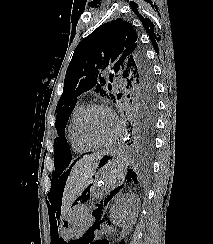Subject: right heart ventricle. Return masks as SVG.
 <instances>
[{"mask_svg": "<svg viewBox=\"0 0 213 244\" xmlns=\"http://www.w3.org/2000/svg\"><path fill=\"white\" fill-rule=\"evenodd\" d=\"M85 107L86 105L84 103L77 104L73 109L66 126L67 140L71 149L76 153H85L91 149L90 146L86 145L80 140L76 131L77 121Z\"/></svg>", "mask_w": 213, "mask_h": 244, "instance_id": "right-heart-ventricle-1", "label": "right heart ventricle"}]
</instances>
